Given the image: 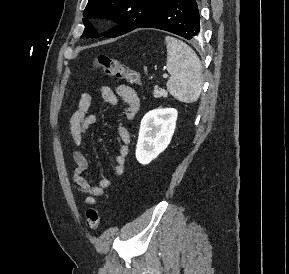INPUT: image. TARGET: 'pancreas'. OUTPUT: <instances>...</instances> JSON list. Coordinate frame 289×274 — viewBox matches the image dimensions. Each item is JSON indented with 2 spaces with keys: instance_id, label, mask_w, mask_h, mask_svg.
I'll return each mask as SVG.
<instances>
[{
  "instance_id": "pancreas-1",
  "label": "pancreas",
  "mask_w": 289,
  "mask_h": 274,
  "mask_svg": "<svg viewBox=\"0 0 289 274\" xmlns=\"http://www.w3.org/2000/svg\"><path fill=\"white\" fill-rule=\"evenodd\" d=\"M154 97L160 98V97H167V92L164 89H160L157 86L154 87Z\"/></svg>"
}]
</instances>
